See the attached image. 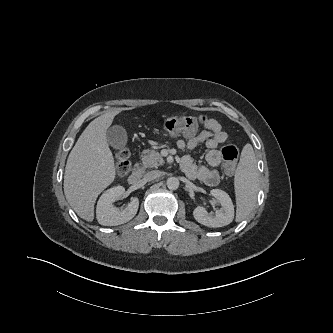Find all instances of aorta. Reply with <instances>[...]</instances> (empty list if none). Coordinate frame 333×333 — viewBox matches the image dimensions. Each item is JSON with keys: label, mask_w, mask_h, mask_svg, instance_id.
<instances>
[{"label": "aorta", "mask_w": 333, "mask_h": 333, "mask_svg": "<svg viewBox=\"0 0 333 333\" xmlns=\"http://www.w3.org/2000/svg\"><path fill=\"white\" fill-rule=\"evenodd\" d=\"M167 187L170 190H176L179 187V180L176 177H170L167 179Z\"/></svg>", "instance_id": "762f6f07"}]
</instances>
